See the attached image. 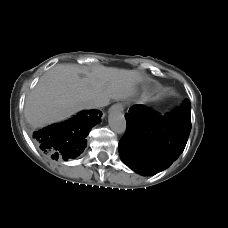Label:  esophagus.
Wrapping results in <instances>:
<instances>
[{"mask_svg": "<svg viewBox=\"0 0 228 228\" xmlns=\"http://www.w3.org/2000/svg\"><path fill=\"white\" fill-rule=\"evenodd\" d=\"M124 106L121 103H116L114 105H112V107L110 108V111H123Z\"/></svg>", "mask_w": 228, "mask_h": 228, "instance_id": "esophagus-1", "label": "esophagus"}]
</instances>
